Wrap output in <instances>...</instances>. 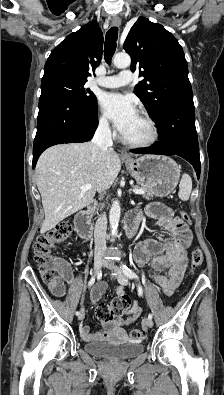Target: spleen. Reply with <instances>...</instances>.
Returning <instances> with one entry per match:
<instances>
[{"mask_svg": "<svg viewBox=\"0 0 224 395\" xmlns=\"http://www.w3.org/2000/svg\"><path fill=\"white\" fill-rule=\"evenodd\" d=\"M178 196L181 200L187 201L192 191V179L188 174H183L179 184Z\"/></svg>", "mask_w": 224, "mask_h": 395, "instance_id": "spleen-1", "label": "spleen"}]
</instances>
